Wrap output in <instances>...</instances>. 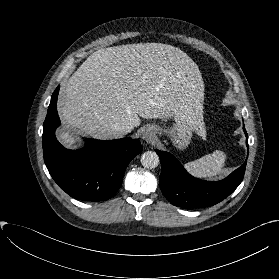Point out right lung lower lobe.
<instances>
[{"instance_id": "1", "label": "right lung lower lobe", "mask_w": 279, "mask_h": 279, "mask_svg": "<svg viewBox=\"0 0 279 279\" xmlns=\"http://www.w3.org/2000/svg\"><path fill=\"white\" fill-rule=\"evenodd\" d=\"M53 92L43 125V155L54 181L71 197L89 202L110 199L120 188L126 167L142 151L138 139H87L79 150L64 148L55 137L60 125Z\"/></svg>"}]
</instances>
